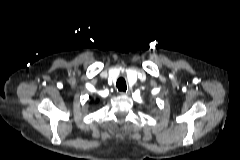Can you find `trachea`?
<instances>
[{
  "label": "trachea",
  "mask_w": 240,
  "mask_h": 160,
  "mask_svg": "<svg viewBox=\"0 0 240 160\" xmlns=\"http://www.w3.org/2000/svg\"><path fill=\"white\" fill-rule=\"evenodd\" d=\"M116 86L119 91L125 92L127 90V85H126V81L124 78H119L117 80Z\"/></svg>",
  "instance_id": "trachea-1"
}]
</instances>
